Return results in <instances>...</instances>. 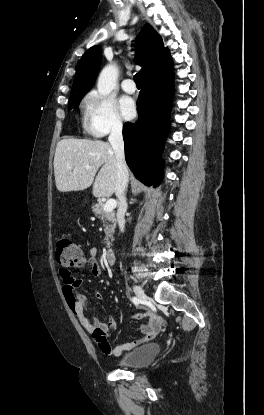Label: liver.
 Here are the masks:
<instances>
[{"instance_id":"liver-1","label":"liver","mask_w":264,"mask_h":415,"mask_svg":"<svg viewBox=\"0 0 264 415\" xmlns=\"http://www.w3.org/2000/svg\"><path fill=\"white\" fill-rule=\"evenodd\" d=\"M116 171L115 153L108 142L71 138L57 143L54 174L60 192L85 190L94 182L95 197H110L115 192Z\"/></svg>"}]
</instances>
